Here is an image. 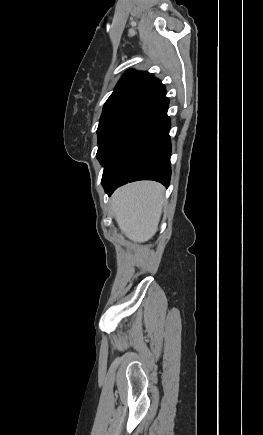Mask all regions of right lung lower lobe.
Instances as JSON below:
<instances>
[{
    "mask_svg": "<svg viewBox=\"0 0 263 435\" xmlns=\"http://www.w3.org/2000/svg\"><path fill=\"white\" fill-rule=\"evenodd\" d=\"M166 90L136 115L125 131L117 151L104 167L102 184L106 193L128 182L155 180L168 187L171 176Z\"/></svg>",
    "mask_w": 263,
    "mask_h": 435,
    "instance_id": "right-lung-lower-lobe-1",
    "label": "right lung lower lobe"
}]
</instances>
